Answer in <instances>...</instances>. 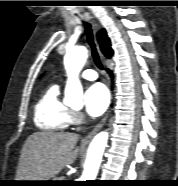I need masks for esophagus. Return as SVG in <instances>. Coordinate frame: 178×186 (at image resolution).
<instances>
[{"label": "esophagus", "mask_w": 178, "mask_h": 186, "mask_svg": "<svg viewBox=\"0 0 178 186\" xmlns=\"http://www.w3.org/2000/svg\"><path fill=\"white\" fill-rule=\"evenodd\" d=\"M108 116L109 113L85 136V138L83 139L84 143L90 141L94 137V135L104 126Z\"/></svg>", "instance_id": "1"}]
</instances>
